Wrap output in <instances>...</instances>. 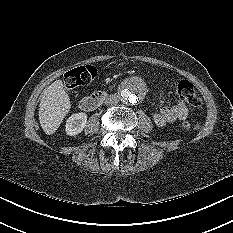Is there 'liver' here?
I'll use <instances>...</instances> for the list:
<instances>
[{
    "label": "liver",
    "instance_id": "1",
    "mask_svg": "<svg viewBox=\"0 0 233 233\" xmlns=\"http://www.w3.org/2000/svg\"><path fill=\"white\" fill-rule=\"evenodd\" d=\"M71 108L62 80L54 81L44 90L39 104V121L43 131L51 135L59 128Z\"/></svg>",
    "mask_w": 233,
    "mask_h": 233
}]
</instances>
